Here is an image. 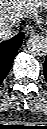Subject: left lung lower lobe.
<instances>
[{
  "instance_id": "1",
  "label": "left lung lower lobe",
  "mask_w": 47,
  "mask_h": 129,
  "mask_svg": "<svg viewBox=\"0 0 47 129\" xmlns=\"http://www.w3.org/2000/svg\"><path fill=\"white\" fill-rule=\"evenodd\" d=\"M43 72H44V76H45L46 81H47V58H46L45 63L43 65Z\"/></svg>"
}]
</instances>
